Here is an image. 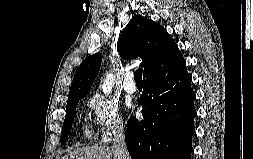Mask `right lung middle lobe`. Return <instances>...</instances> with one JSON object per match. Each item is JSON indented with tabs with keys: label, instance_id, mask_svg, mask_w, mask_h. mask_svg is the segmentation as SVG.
I'll list each match as a JSON object with an SVG mask.
<instances>
[{
	"label": "right lung middle lobe",
	"instance_id": "1",
	"mask_svg": "<svg viewBox=\"0 0 253 159\" xmlns=\"http://www.w3.org/2000/svg\"><path fill=\"white\" fill-rule=\"evenodd\" d=\"M81 98H83V97L75 98L70 101H67L66 115H65L63 128H62V132H61V138H60L62 145L65 144L67 141L70 125L72 124V122L75 118V115H76V106Z\"/></svg>",
	"mask_w": 253,
	"mask_h": 159
}]
</instances>
